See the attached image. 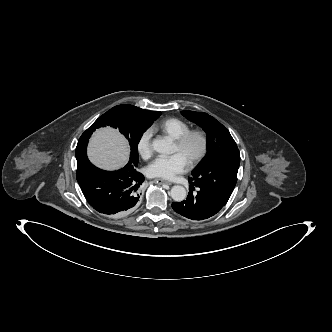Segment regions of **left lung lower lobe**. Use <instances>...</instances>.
I'll return each mask as SVG.
<instances>
[{
	"label": "left lung lower lobe",
	"instance_id": "obj_1",
	"mask_svg": "<svg viewBox=\"0 0 332 332\" xmlns=\"http://www.w3.org/2000/svg\"><path fill=\"white\" fill-rule=\"evenodd\" d=\"M190 184V193L186 200L172 203L173 210L178 214L191 220L201 221L214 216L226 205L225 199L203 187L195 186L197 192L193 193L195 188L191 182Z\"/></svg>",
	"mask_w": 332,
	"mask_h": 332
}]
</instances>
